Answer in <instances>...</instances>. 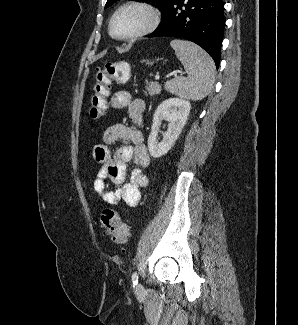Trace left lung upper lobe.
I'll return each instance as SVG.
<instances>
[{
    "instance_id": "left-lung-upper-lobe-1",
    "label": "left lung upper lobe",
    "mask_w": 298,
    "mask_h": 325,
    "mask_svg": "<svg viewBox=\"0 0 298 325\" xmlns=\"http://www.w3.org/2000/svg\"><path fill=\"white\" fill-rule=\"evenodd\" d=\"M115 1L116 0H107V3L105 5V8H107L110 5H112ZM150 1L154 2L155 4H157L163 11L169 5V3L171 2V0H150Z\"/></svg>"
}]
</instances>
